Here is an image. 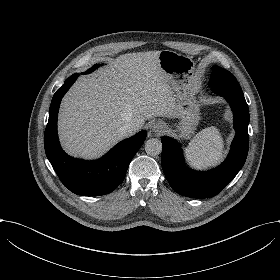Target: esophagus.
Wrapping results in <instances>:
<instances>
[{
	"label": "esophagus",
	"instance_id": "obj_1",
	"mask_svg": "<svg viewBox=\"0 0 280 280\" xmlns=\"http://www.w3.org/2000/svg\"><path fill=\"white\" fill-rule=\"evenodd\" d=\"M150 128L154 133H160L164 130L163 124L160 121H156L150 125Z\"/></svg>",
	"mask_w": 280,
	"mask_h": 280
}]
</instances>
